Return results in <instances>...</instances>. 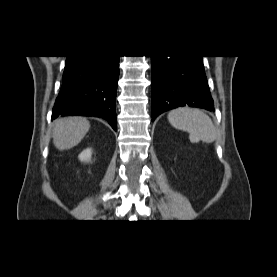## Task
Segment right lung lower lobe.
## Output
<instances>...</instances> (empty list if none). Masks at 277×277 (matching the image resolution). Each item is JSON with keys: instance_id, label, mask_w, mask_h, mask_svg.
Masks as SVG:
<instances>
[{"instance_id": "98d812e1", "label": "right lung lower lobe", "mask_w": 277, "mask_h": 277, "mask_svg": "<svg viewBox=\"0 0 277 277\" xmlns=\"http://www.w3.org/2000/svg\"><path fill=\"white\" fill-rule=\"evenodd\" d=\"M118 57L67 56L52 119L59 115L95 116L106 119L117 130Z\"/></svg>"}]
</instances>
